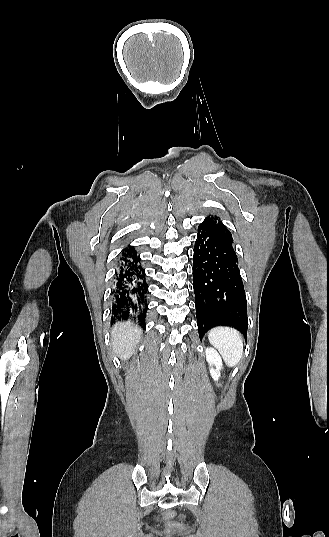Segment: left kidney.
I'll return each mask as SVG.
<instances>
[{"label":"left kidney","mask_w":329,"mask_h":537,"mask_svg":"<svg viewBox=\"0 0 329 537\" xmlns=\"http://www.w3.org/2000/svg\"><path fill=\"white\" fill-rule=\"evenodd\" d=\"M206 358L210 366H215L216 370L213 368L210 369V374L212 378L216 381L220 377V370L222 369L223 363L220 355L213 348L206 349Z\"/></svg>","instance_id":"1"}]
</instances>
